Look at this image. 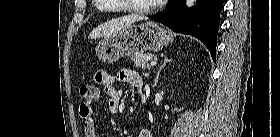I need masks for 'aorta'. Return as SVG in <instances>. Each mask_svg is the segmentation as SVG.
<instances>
[{
    "label": "aorta",
    "instance_id": "obj_1",
    "mask_svg": "<svg viewBox=\"0 0 280 137\" xmlns=\"http://www.w3.org/2000/svg\"><path fill=\"white\" fill-rule=\"evenodd\" d=\"M195 2H196V0H186V5L188 7H191L192 5H194Z\"/></svg>",
    "mask_w": 280,
    "mask_h": 137
}]
</instances>
